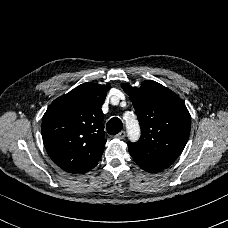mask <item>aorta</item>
<instances>
[{"label": "aorta", "mask_w": 228, "mask_h": 228, "mask_svg": "<svg viewBox=\"0 0 228 228\" xmlns=\"http://www.w3.org/2000/svg\"><path fill=\"white\" fill-rule=\"evenodd\" d=\"M122 118L128 134V140L132 143L139 141L141 137V126L137 115L133 111H124Z\"/></svg>", "instance_id": "762f6f07"}]
</instances>
